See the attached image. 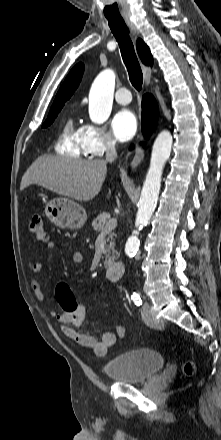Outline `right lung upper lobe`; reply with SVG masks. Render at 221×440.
I'll use <instances>...</instances> for the list:
<instances>
[{"mask_svg":"<svg viewBox=\"0 0 221 440\" xmlns=\"http://www.w3.org/2000/svg\"><path fill=\"white\" fill-rule=\"evenodd\" d=\"M137 51L142 62L146 65L152 66L153 58L150 50L141 39L137 40ZM83 71L84 65L82 63H79L72 68L65 81L63 82V85L60 87L50 110L59 106L63 107L64 103L72 96L74 91L77 89L81 81Z\"/></svg>","mask_w":221,"mask_h":440,"instance_id":"1","label":"right lung upper lobe"}]
</instances>
